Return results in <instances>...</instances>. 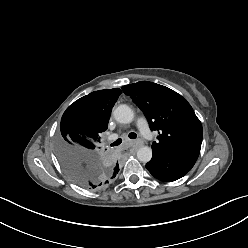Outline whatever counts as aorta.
Returning <instances> with one entry per match:
<instances>
[{"label": "aorta", "instance_id": "aorta-1", "mask_svg": "<svg viewBox=\"0 0 248 248\" xmlns=\"http://www.w3.org/2000/svg\"><path fill=\"white\" fill-rule=\"evenodd\" d=\"M114 118L117 122L128 124L131 123L134 119L133 110L125 105L121 104L113 112ZM137 158L139 161L147 163L152 158V149L148 146H143L137 151Z\"/></svg>", "mask_w": 248, "mask_h": 248}]
</instances>
